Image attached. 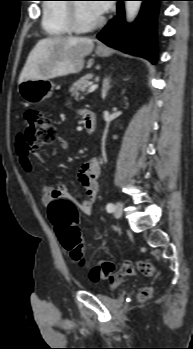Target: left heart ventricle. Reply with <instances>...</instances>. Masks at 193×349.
I'll use <instances>...</instances> for the list:
<instances>
[{"instance_id": "1", "label": "left heart ventricle", "mask_w": 193, "mask_h": 349, "mask_svg": "<svg viewBox=\"0 0 193 349\" xmlns=\"http://www.w3.org/2000/svg\"><path fill=\"white\" fill-rule=\"evenodd\" d=\"M79 16L82 23H89L99 17L92 11L89 3H79Z\"/></svg>"}]
</instances>
